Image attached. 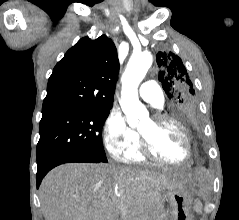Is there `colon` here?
<instances>
[{"label":"colon","instance_id":"colon-1","mask_svg":"<svg viewBox=\"0 0 239 220\" xmlns=\"http://www.w3.org/2000/svg\"><path fill=\"white\" fill-rule=\"evenodd\" d=\"M185 219H186V217L184 215L179 218V220H185Z\"/></svg>","mask_w":239,"mask_h":220}]
</instances>
